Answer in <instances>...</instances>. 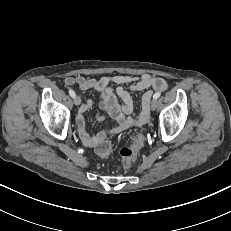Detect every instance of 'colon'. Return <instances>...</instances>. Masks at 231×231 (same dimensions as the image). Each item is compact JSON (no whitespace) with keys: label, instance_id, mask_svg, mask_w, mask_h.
<instances>
[{"label":"colon","instance_id":"obj_1","mask_svg":"<svg viewBox=\"0 0 231 231\" xmlns=\"http://www.w3.org/2000/svg\"><path fill=\"white\" fill-rule=\"evenodd\" d=\"M144 142V134L142 132H137L133 138L132 144L120 150L123 167L125 169H129L132 166ZM95 148L97 153L102 157H108L111 154V143L107 137L101 139Z\"/></svg>","mask_w":231,"mask_h":231}]
</instances>
